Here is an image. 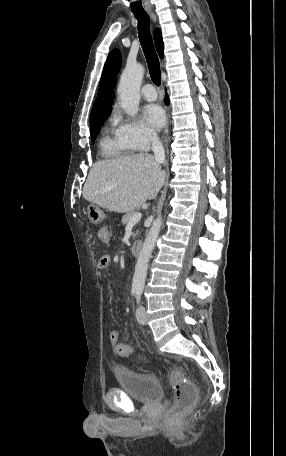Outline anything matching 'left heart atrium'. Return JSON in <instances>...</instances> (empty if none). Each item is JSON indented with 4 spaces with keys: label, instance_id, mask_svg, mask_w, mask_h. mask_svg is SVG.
I'll use <instances>...</instances> for the list:
<instances>
[{
    "label": "left heart atrium",
    "instance_id": "1",
    "mask_svg": "<svg viewBox=\"0 0 286 456\" xmlns=\"http://www.w3.org/2000/svg\"><path fill=\"white\" fill-rule=\"evenodd\" d=\"M144 116L148 124L155 129H160L166 120L163 109L156 104L147 105L144 109Z\"/></svg>",
    "mask_w": 286,
    "mask_h": 456
}]
</instances>
